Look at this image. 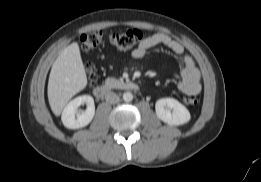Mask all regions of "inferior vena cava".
Returning <instances> with one entry per match:
<instances>
[{
	"mask_svg": "<svg viewBox=\"0 0 261 182\" xmlns=\"http://www.w3.org/2000/svg\"><path fill=\"white\" fill-rule=\"evenodd\" d=\"M105 99L110 104H116L120 101L119 96L114 92H108L105 95Z\"/></svg>",
	"mask_w": 261,
	"mask_h": 182,
	"instance_id": "obj_1",
	"label": "inferior vena cava"
}]
</instances>
